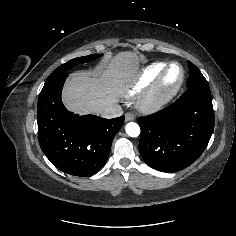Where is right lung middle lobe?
I'll return each mask as SVG.
<instances>
[{
  "label": "right lung middle lobe",
  "mask_w": 236,
  "mask_h": 236,
  "mask_svg": "<svg viewBox=\"0 0 236 236\" xmlns=\"http://www.w3.org/2000/svg\"><path fill=\"white\" fill-rule=\"evenodd\" d=\"M101 55H88V56H84V57H78V58H74L68 62H66L65 64L60 65L58 68H56L47 78V80H51L55 77H57L60 74L66 73V71H68L69 69H71L72 67H75L78 64H82L85 62H89L92 61L98 57H100Z\"/></svg>",
  "instance_id": "1"
}]
</instances>
